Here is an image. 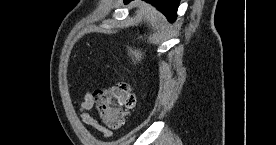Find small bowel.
Here are the masks:
<instances>
[{
  "mask_svg": "<svg viewBox=\"0 0 276 145\" xmlns=\"http://www.w3.org/2000/svg\"><path fill=\"white\" fill-rule=\"evenodd\" d=\"M94 105L92 93L87 91L83 96V101L79 107V116L81 120L94 128L100 131L104 138L108 139L112 136V132L110 129L103 126L89 111L92 109Z\"/></svg>",
  "mask_w": 276,
  "mask_h": 145,
  "instance_id": "c3829d8e",
  "label": "small bowel"
}]
</instances>
